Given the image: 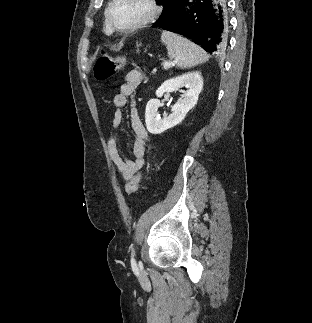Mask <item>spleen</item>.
<instances>
[{"mask_svg": "<svg viewBox=\"0 0 312 323\" xmlns=\"http://www.w3.org/2000/svg\"><path fill=\"white\" fill-rule=\"evenodd\" d=\"M161 42L167 46L168 58L174 60V64L182 70L204 64L209 58L207 52H204L200 46L193 44L187 38H181L179 34L162 30Z\"/></svg>", "mask_w": 312, "mask_h": 323, "instance_id": "obj_1", "label": "spleen"}]
</instances>
